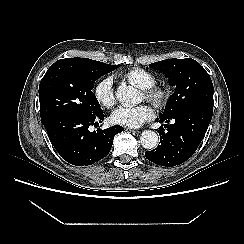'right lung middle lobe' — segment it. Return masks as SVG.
I'll return each mask as SVG.
<instances>
[{
    "label": "right lung middle lobe",
    "mask_w": 244,
    "mask_h": 244,
    "mask_svg": "<svg viewBox=\"0 0 244 244\" xmlns=\"http://www.w3.org/2000/svg\"><path fill=\"white\" fill-rule=\"evenodd\" d=\"M119 65H109L88 58H66L56 61L39 85L41 121L50 117L102 112L92 89L94 82Z\"/></svg>",
    "instance_id": "obj_1"
}]
</instances>
